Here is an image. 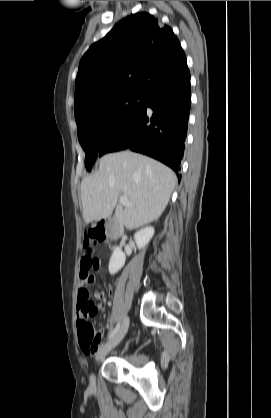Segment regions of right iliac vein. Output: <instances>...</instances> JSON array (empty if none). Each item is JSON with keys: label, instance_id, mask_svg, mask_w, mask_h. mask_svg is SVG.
<instances>
[{"label": "right iliac vein", "instance_id": "right-iliac-vein-1", "mask_svg": "<svg viewBox=\"0 0 271 418\" xmlns=\"http://www.w3.org/2000/svg\"><path fill=\"white\" fill-rule=\"evenodd\" d=\"M129 327V319L125 318L121 327L119 328L118 332L115 334L112 339H110L108 342L102 345V347L99 349L96 355V362L102 360L113 348H115L124 338L128 331ZM90 384L91 386L95 385V376L92 373L90 375Z\"/></svg>", "mask_w": 271, "mask_h": 418}]
</instances>
